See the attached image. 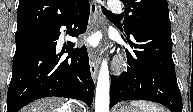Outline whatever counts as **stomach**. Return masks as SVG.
<instances>
[{
  "label": "stomach",
  "instance_id": "0dacf381",
  "mask_svg": "<svg viewBox=\"0 0 193 112\" xmlns=\"http://www.w3.org/2000/svg\"><path fill=\"white\" fill-rule=\"evenodd\" d=\"M117 112H139L137 108L131 106H121Z\"/></svg>",
  "mask_w": 193,
  "mask_h": 112
}]
</instances>
